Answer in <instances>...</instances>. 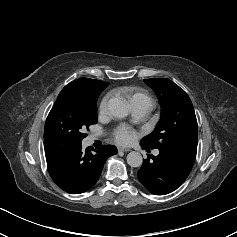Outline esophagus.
Returning <instances> with one entry per match:
<instances>
[{"mask_svg": "<svg viewBox=\"0 0 237 237\" xmlns=\"http://www.w3.org/2000/svg\"><path fill=\"white\" fill-rule=\"evenodd\" d=\"M129 148H124V147H118V152H129Z\"/></svg>", "mask_w": 237, "mask_h": 237, "instance_id": "1", "label": "esophagus"}]
</instances>
